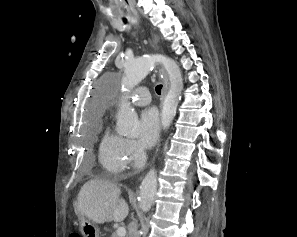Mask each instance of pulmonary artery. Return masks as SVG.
Segmentation results:
<instances>
[{
    "mask_svg": "<svg viewBox=\"0 0 297 237\" xmlns=\"http://www.w3.org/2000/svg\"><path fill=\"white\" fill-rule=\"evenodd\" d=\"M132 102L138 106L149 104L151 102L149 90L147 88L136 89L132 97Z\"/></svg>",
    "mask_w": 297,
    "mask_h": 237,
    "instance_id": "pulmonary-artery-1",
    "label": "pulmonary artery"
}]
</instances>
